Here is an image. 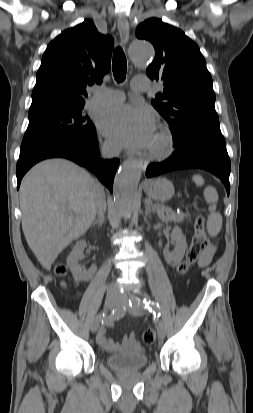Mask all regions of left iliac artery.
Segmentation results:
<instances>
[{"mask_svg":"<svg viewBox=\"0 0 253 413\" xmlns=\"http://www.w3.org/2000/svg\"><path fill=\"white\" fill-rule=\"evenodd\" d=\"M129 305L131 307H144L148 309L150 312H152L154 315L158 317L161 316L159 304L151 301L148 295H144L142 299H140L139 297L132 296L129 299Z\"/></svg>","mask_w":253,"mask_h":413,"instance_id":"1","label":"left iliac artery"}]
</instances>
